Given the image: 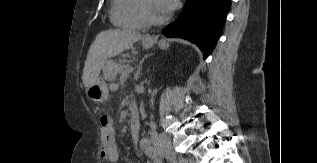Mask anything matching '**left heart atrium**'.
I'll return each mask as SVG.
<instances>
[{
    "instance_id": "39dd6f15",
    "label": "left heart atrium",
    "mask_w": 317,
    "mask_h": 163,
    "mask_svg": "<svg viewBox=\"0 0 317 163\" xmlns=\"http://www.w3.org/2000/svg\"><path fill=\"white\" fill-rule=\"evenodd\" d=\"M160 5L164 9V11L168 14L173 11L177 6L178 0H159Z\"/></svg>"
}]
</instances>
